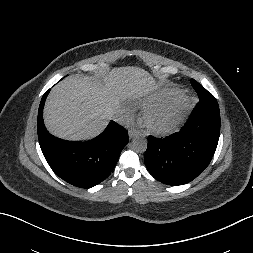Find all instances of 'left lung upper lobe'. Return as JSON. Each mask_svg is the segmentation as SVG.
<instances>
[{
	"mask_svg": "<svg viewBox=\"0 0 253 253\" xmlns=\"http://www.w3.org/2000/svg\"><path fill=\"white\" fill-rule=\"evenodd\" d=\"M191 81V84L193 83V82H197V81H195L194 79H191L190 80ZM201 88V90L203 91V93H204V98H205V100H207V101H209V102H214V103H217V101H216V99L214 98V96L211 94V93H209L204 87H200Z\"/></svg>",
	"mask_w": 253,
	"mask_h": 253,
	"instance_id": "5c2ea615",
	"label": "left lung upper lobe"
}]
</instances>
